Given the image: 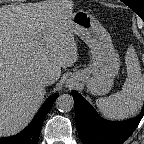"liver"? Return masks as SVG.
Here are the masks:
<instances>
[{
  "label": "liver",
  "mask_w": 144,
  "mask_h": 144,
  "mask_svg": "<svg viewBox=\"0 0 144 144\" xmlns=\"http://www.w3.org/2000/svg\"><path fill=\"white\" fill-rule=\"evenodd\" d=\"M71 0L20 4L0 10V137L32 120L45 95L44 76L57 81L78 59Z\"/></svg>",
  "instance_id": "liver-1"
}]
</instances>
